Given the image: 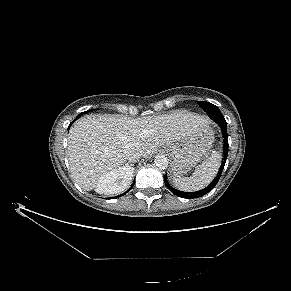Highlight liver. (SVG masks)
I'll return each instance as SVG.
<instances>
[{
    "label": "liver",
    "instance_id": "6515ba94",
    "mask_svg": "<svg viewBox=\"0 0 291 291\" xmlns=\"http://www.w3.org/2000/svg\"><path fill=\"white\" fill-rule=\"evenodd\" d=\"M209 123L207 117L186 111L136 119L88 115L77 120L69 131L71 175L83 190L90 191L102 175L126 162L128 147H139L142 156L147 157L159 147L179 142ZM130 184L131 180L123 191Z\"/></svg>",
    "mask_w": 291,
    "mask_h": 291
}]
</instances>
